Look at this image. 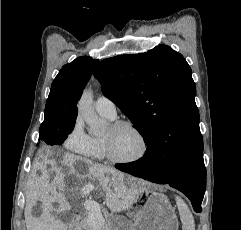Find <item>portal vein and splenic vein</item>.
I'll use <instances>...</instances> for the list:
<instances>
[{
    "instance_id": "1",
    "label": "portal vein and splenic vein",
    "mask_w": 241,
    "mask_h": 230,
    "mask_svg": "<svg viewBox=\"0 0 241 230\" xmlns=\"http://www.w3.org/2000/svg\"><path fill=\"white\" fill-rule=\"evenodd\" d=\"M92 190L91 186H88L84 189V193ZM84 207L88 211L89 214V222L95 226H101L104 223V218L101 214L100 206L97 202L92 200H86L84 202Z\"/></svg>"
}]
</instances>
